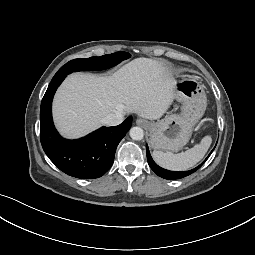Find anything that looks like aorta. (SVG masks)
<instances>
[{
  "instance_id": "aorta-1",
  "label": "aorta",
  "mask_w": 255,
  "mask_h": 255,
  "mask_svg": "<svg viewBox=\"0 0 255 255\" xmlns=\"http://www.w3.org/2000/svg\"><path fill=\"white\" fill-rule=\"evenodd\" d=\"M129 134L133 140H142L144 137V131L140 127H132Z\"/></svg>"
}]
</instances>
